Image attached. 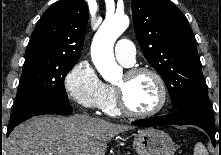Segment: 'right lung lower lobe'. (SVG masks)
I'll return each mask as SVG.
<instances>
[{
	"label": "right lung lower lobe",
	"mask_w": 221,
	"mask_h": 155,
	"mask_svg": "<svg viewBox=\"0 0 221 155\" xmlns=\"http://www.w3.org/2000/svg\"><path fill=\"white\" fill-rule=\"evenodd\" d=\"M70 112H72V107L67 102H60L49 99L36 101L19 113L12 116L7 129V136L14 129V127L33 116L42 114L66 115Z\"/></svg>",
	"instance_id": "98d812e1"
}]
</instances>
